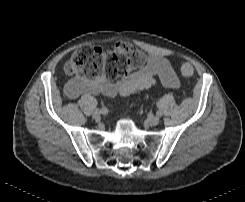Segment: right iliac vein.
<instances>
[{
	"mask_svg": "<svg viewBox=\"0 0 245 202\" xmlns=\"http://www.w3.org/2000/svg\"><path fill=\"white\" fill-rule=\"evenodd\" d=\"M101 114H104V112L100 109H94L93 112H92V116L94 118H98L100 117Z\"/></svg>",
	"mask_w": 245,
	"mask_h": 202,
	"instance_id": "1",
	"label": "right iliac vein"
}]
</instances>
